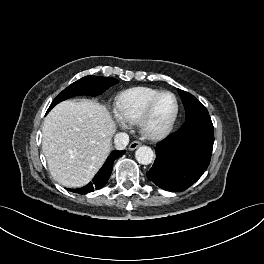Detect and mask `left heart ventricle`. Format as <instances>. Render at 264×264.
Here are the masks:
<instances>
[{
    "instance_id": "1",
    "label": "left heart ventricle",
    "mask_w": 264,
    "mask_h": 264,
    "mask_svg": "<svg viewBox=\"0 0 264 264\" xmlns=\"http://www.w3.org/2000/svg\"><path fill=\"white\" fill-rule=\"evenodd\" d=\"M175 111V101L171 95L163 96L156 104L149 123L151 129L163 127L172 117Z\"/></svg>"
}]
</instances>
